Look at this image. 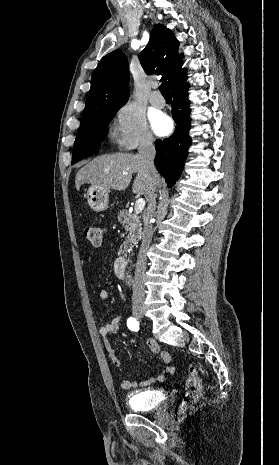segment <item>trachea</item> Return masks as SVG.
I'll list each match as a JSON object with an SVG mask.
<instances>
[{
	"instance_id": "3493384b",
	"label": "trachea",
	"mask_w": 279,
	"mask_h": 465,
	"mask_svg": "<svg viewBox=\"0 0 279 465\" xmlns=\"http://www.w3.org/2000/svg\"><path fill=\"white\" fill-rule=\"evenodd\" d=\"M160 92L162 93L163 96H171V92L168 87L167 81H164L160 87H159Z\"/></svg>"
}]
</instances>
